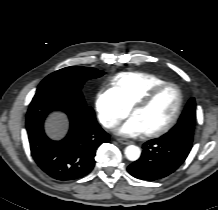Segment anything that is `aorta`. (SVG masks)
Returning a JSON list of instances; mask_svg holds the SVG:
<instances>
[{"mask_svg": "<svg viewBox=\"0 0 218 210\" xmlns=\"http://www.w3.org/2000/svg\"><path fill=\"white\" fill-rule=\"evenodd\" d=\"M125 156L130 161H136L139 159L141 155V150L138 146L135 145H129L125 148Z\"/></svg>", "mask_w": 218, "mask_h": 210, "instance_id": "1", "label": "aorta"}]
</instances>
